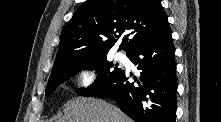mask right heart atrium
Wrapping results in <instances>:
<instances>
[{
  "instance_id": "1",
  "label": "right heart atrium",
  "mask_w": 221,
  "mask_h": 122,
  "mask_svg": "<svg viewBox=\"0 0 221 122\" xmlns=\"http://www.w3.org/2000/svg\"><path fill=\"white\" fill-rule=\"evenodd\" d=\"M97 81V73L93 68L82 69L76 79L77 86L83 89L92 87Z\"/></svg>"
}]
</instances>
